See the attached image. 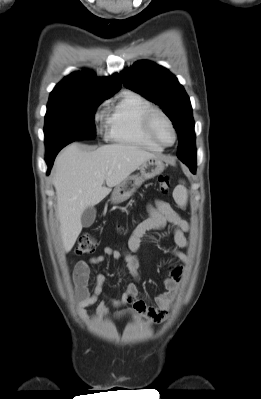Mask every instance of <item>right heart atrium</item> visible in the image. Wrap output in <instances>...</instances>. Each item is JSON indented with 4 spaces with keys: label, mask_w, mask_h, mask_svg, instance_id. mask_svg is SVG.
Returning <instances> with one entry per match:
<instances>
[{
    "label": "right heart atrium",
    "mask_w": 261,
    "mask_h": 399,
    "mask_svg": "<svg viewBox=\"0 0 261 399\" xmlns=\"http://www.w3.org/2000/svg\"><path fill=\"white\" fill-rule=\"evenodd\" d=\"M102 117V111H98L97 113H96V115H95V119L96 120H98V119H100Z\"/></svg>",
    "instance_id": "right-heart-atrium-1"
}]
</instances>
